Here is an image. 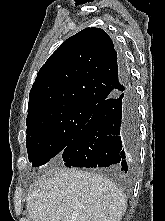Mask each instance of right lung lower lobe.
I'll return each mask as SVG.
<instances>
[{"label":"right lung lower lobe","instance_id":"obj_1","mask_svg":"<svg viewBox=\"0 0 165 221\" xmlns=\"http://www.w3.org/2000/svg\"><path fill=\"white\" fill-rule=\"evenodd\" d=\"M118 90L94 107V112L62 151L67 167H112L130 171L129 159L138 143V114L136 96L129 76Z\"/></svg>","mask_w":165,"mask_h":221}]
</instances>
